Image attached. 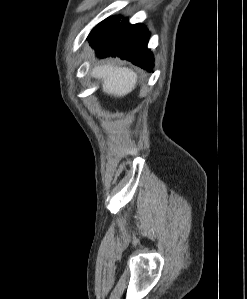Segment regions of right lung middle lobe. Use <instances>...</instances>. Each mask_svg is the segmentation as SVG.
<instances>
[{
	"mask_svg": "<svg viewBox=\"0 0 247 299\" xmlns=\"http://www.w3.org/2000/svg\"><path fill=\"white\" fill-rule=\"evenodd\" d=\"M120 21L119 17H109L107 19H105L104 21H102L101 23H99L96 27L93 28V30L91 31L90 35H94L102 30H105L107 28H109L110 26L118 23Z\"/></svg>",
	"mask_w": 247,
	"mask_h": 299,
	"instance_id": "obj_1",
	"label": "right lung middle lobe"
}]
</instances>
